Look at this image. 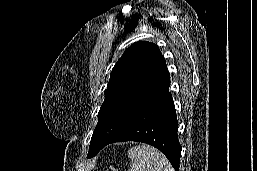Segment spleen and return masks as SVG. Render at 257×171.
<instances>
[{
	"label": "spleen",
	"mask_w": 257,
	"mask_h": 171,
	"mask_svg": "<svg viewBox=\"0 0 257 171\" xmlns=\"http://www.w3.org/2000/svg\"><path fill=\"white\" fill-rule=\"evenodd\" d=\"M129 171H174L167 158L156 148L138 145L128 151Z\"/></svg>",
	"instance_id": "spleen-1"
}]
</instances>
